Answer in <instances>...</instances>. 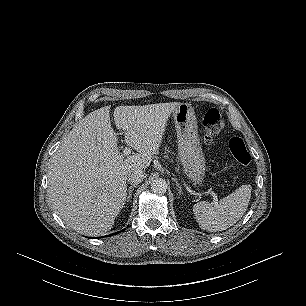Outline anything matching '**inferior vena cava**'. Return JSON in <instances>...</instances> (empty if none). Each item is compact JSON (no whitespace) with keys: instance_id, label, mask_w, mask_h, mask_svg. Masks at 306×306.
I'll return each instance as SVG.
<instances>
[{"instance_id":"inferior-vena-cava-1","label":"inferior vena cava","mask_w":306,"mask_h":306,"mask_svg":"<svg viewBox=\"0 0 306 306\" xmlns=\"http://www.w3.org/2000/svg\"><path fill=\"white\" fill-rule=\"evenodd\" d=\"M145 178V172L142 169H135L127 175V182L131 185H137Z\"/></svg>"}]
</instances>
